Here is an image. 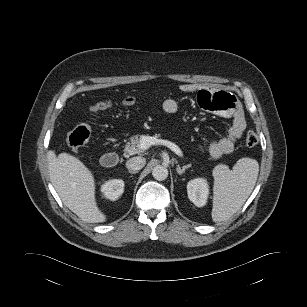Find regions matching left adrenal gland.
Here are the masks:
<instances>
[{"label":"left adrenal gland","instance_id":"left-adrenal-gland-1","mask_svg":"<svg viewBox=\"0 0 307 307\" xmlns=\"http://www.w3.org/2000/svg\"><path fill=\"white\" fill-rule=\"evenodd\" d=\"M190 167H191V164H187V165L183 166L182 168L177 167V168H176V171H177V173H178L179 175H182V174L185 172V170L188 169V168H190Z\"/></svg>","mask_w":307,"mask_h":307}]
</instances>
